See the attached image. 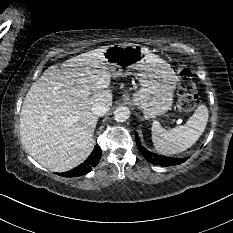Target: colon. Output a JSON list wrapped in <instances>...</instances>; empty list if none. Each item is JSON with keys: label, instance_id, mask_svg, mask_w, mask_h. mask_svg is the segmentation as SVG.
<instances>
[{"label": "colon", "instance_id": "obj_1", "mask_svg": "<svg viewBox=\"0 0 233 233\" xmlns=\"http://www.w3.org/2000/svg\"><path fill=\"white\" fill-rule=\"evenodd\" d=\"M178 68V103L185 111L193 110L198 104V96L192 79V73L181 61L177 62Z\"/></svg>", "mask_w": 233, "mask_h": 233}]
</instances>
